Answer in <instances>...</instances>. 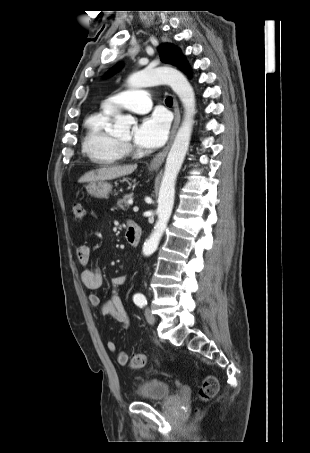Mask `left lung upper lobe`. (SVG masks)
<instances>
[{
  "mask_svg": "<svg viewBox=\"0 0 310 453\" xmlns=\"http://www.w3.org/2000/svg\"><path fill=\"white\" fill-rule=\"evenodd\" d=\"M159 49H160V58H161L162 62L178 66V68H180L183 65V63L185 62L180 50L177 49L176 47H174L170 44H166V45H161ZM120 68H121V64L116 65L109 71V74L116 72Z\"/></svg>",
  "mask_w": 310,
  "mask_h": 453,
  "instance_id": "obj_1",
  "label": "left lung upper lobe"
}]
</instances>
